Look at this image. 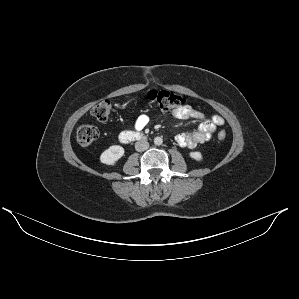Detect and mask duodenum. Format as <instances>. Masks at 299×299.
Wrapping results in <instances>:
<instances>
[{
    "label": "duodenum",
    "instance_id": "duodenum-1",
    "mask_svg": "<svg viewBox=\"0 0 299 299\" xmlns=\"http://www.w3.org/2000/svg\"><path fill=\"white\" fill-rule=\"evenodd\" d=\"M121 142H128V141H143L146 139L145 135L140 132H132V131H125L119 137Z\"/></svg>",
    "mask_w": 299,
    "mask_h": 299
}]
</instances>
